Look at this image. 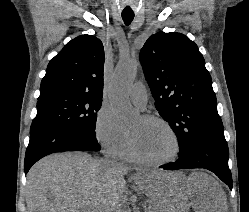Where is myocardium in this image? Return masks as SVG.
Wrapping results in <instances>:
<instances>
[{"mask_svg":"<svg viewBox=\"0 0 249 212\" xmlns=\"http://www.w3.org/2000/svg\"><path fill=\"white\" fill-rule=\"evenodd\" d=\"M140 118L145 122H157V123L163 125L174 137L175 142H176V151L172 157L165 159V160H161V161L147 160V159L141 157L135 151V149L133 148L132 143L130 141V138L128 136V150H129V154H130V157L132 158V160L139 163V164L149 166V167H160V166H165V165H169L171 163H174L180 157L181 152H182L181 140H180L178 133L174 129V127L167 120H165L162 117L156 116V115H142Z\"/></svg>","mask_w":249,"mask_h":212,"instance_id":"f54148a6","label":"myocardium"}]
</instances>
